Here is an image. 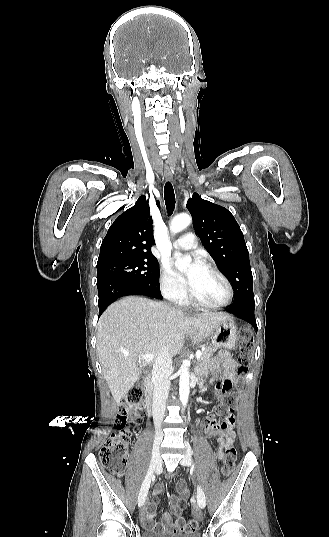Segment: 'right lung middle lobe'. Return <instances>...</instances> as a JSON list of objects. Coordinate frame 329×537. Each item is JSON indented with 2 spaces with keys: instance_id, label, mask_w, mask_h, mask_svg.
Here are the masks:
<instances>
[{
  "instance_id": "1",
  "label": "right lung middle lobe",
  "mask_w": 329,
  "mask_h": 537,
  "mask_svg": "<svg viewBox=\"0 0 329 537\" xmlns=\"http://www.w3.org/2000/svg\"><path fill=\"white\" fill-rule=\"evenodd\" d=\"M118 278L159 288V263L156 258L115 260L97 265V280Z\"/></svg>"
}]
</instances>
